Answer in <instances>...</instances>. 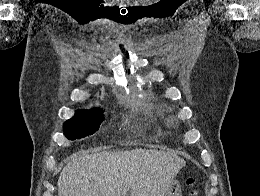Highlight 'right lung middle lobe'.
Here are the masks:
<instances>
[{"mask_svg": "<svg viewBox=\"0 0 260 196\" xmlns=\"http://www.w3.org/2000/svg\"><path fill=\"white\" fill-rule=\"evenodd\" d=\"M102 111L77 110L74 117L64 125V134L69 140L80 139L95 133L103 121Z\"/></svg>", "mask_w": 260, "mask_h": 196, "instance_id": "dd1d6c3e", "label": "right lung middle lobe"}]
</instances>
